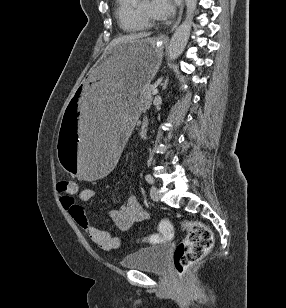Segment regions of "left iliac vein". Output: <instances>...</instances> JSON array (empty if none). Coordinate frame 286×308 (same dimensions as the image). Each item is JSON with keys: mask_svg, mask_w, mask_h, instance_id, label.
<instances>
[{"mask_svg": "<svg viewBox=\"0 0 286 308\" xmlns=\"http://www.w3.org/2000/svg\"><path fill=\"white\" fill-rule=\"evenodd\" d=\"M150 196L152 198V200L154 201H158L160 198V192L159 189L155 186H151L150 188Z\"/></svg>", "mask_w": 286, "mask_h": 308, "instance_id": "left-iliac-vein-1", "label": "left iliac vein"}]
</instances>
